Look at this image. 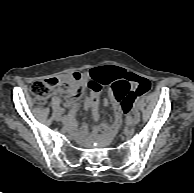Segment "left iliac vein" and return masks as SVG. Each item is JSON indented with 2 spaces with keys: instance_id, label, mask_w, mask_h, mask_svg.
<instances>
[{
  "instance_id": "obj_1",
  "label": "left iliac vein",
  "mask_w": 194,
  "mask_h": 193,
  "mask_svg": "<svg viewBox=\"0 0 194 193\" xmlns=\"http://www.w3.org/2000/svg\"><path fill=\"white\" fill-rule=\"evenodd\" d=\"M135 116L133 120V125H137L140 121V114L137 109L134 110Z\"/></svg>"
}]
</instances>
